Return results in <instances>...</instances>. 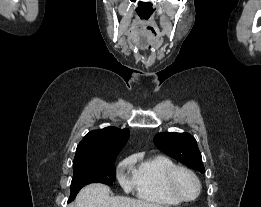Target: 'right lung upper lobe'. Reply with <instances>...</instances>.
<instances>
[{"label": "right lung upper lobe", "instance_id": "obj_1", "mask_svg": "<svg viewBox=\"0 0 261 207\" xmlns=\"http://www.w3.org/2000/svg\"><path fill=\"white\" fill-rule=\"evenodd\" d=\"M128 129L106 127L90 131L78 144L73 165L104 162L117 157L129 138Z\"/></svg>", "mask_w": 261, "mask_h": 207}]
</instances>
